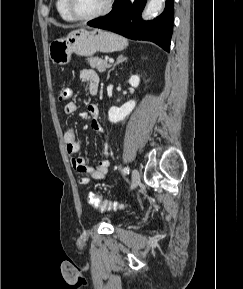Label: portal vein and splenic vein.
I'll list each match as a JSON object with an SVG mask.
<instances>
[{
  "mask_svg": "<svg viewBox=\"0 0 243 289\" xmlns=\"http://www.w3.org/2000/svg\"><path fill=\"white\" fill-rule=\"evenodd\" d=\"M109 62H110V63H113V62H114V60H113V59H109Z\"/></svg>",
  "mask_w": 243,
  "mask_h": 289,
  "instance_id": "18ae733b",
  "label": "portal vein and splenic vein"
}]
</instances>
